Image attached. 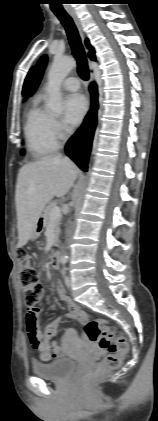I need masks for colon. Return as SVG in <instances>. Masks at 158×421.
I'll use <instances>...</instances> for the list:
<instances>
[{"label":"colon","mask_w":158,"mask_h":421,"mask_svg":"<svg viewBox=\"0 0 158 421\" xmlns=\"http://www.w3.org/2000/svg\"><path fill=\"white\" fill-rule=\"evenodd\" d=\"M17 259L26 304L29 310L35 312L43 292L39 273L32 256L25 249L17 250ZM82 324H84L86 338L90 342L95 343L98 348L108 351L102 361L82 376V385L88 387L108 371L119 367L123 357L129 350V344L122 334L112 329L103 320L89 319L84 313L82 315ZM39 351L42 361H50L52 359L53 354L47 348H41Z\"/></svg>","instance_id":"colon-1"}]
</instances>
